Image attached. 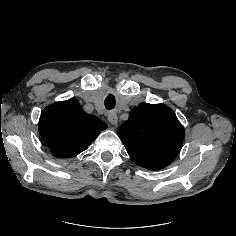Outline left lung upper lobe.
<instances>
[{"mask_svg":"<svg viewBox=\"0 0 236 236\" xmlns=\"http://www.w3.org/2000/svg\"><path fill=\"white\" fill-rule=\"evenodd\" d=\"M117 134L139 166L159 170L180 152L184 129L175 113L164 104L143 103L131 110Z\"/></svg>","mask_w":236,"mask_h":236,"instance_id":"1","label":"left lung upper lobe"}]
</instances>
